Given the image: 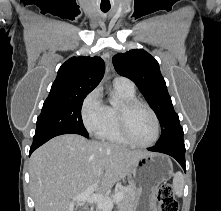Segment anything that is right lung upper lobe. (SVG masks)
<instances>
[{
	"instance_id": "obj_1",
	"label": "right lung upper lobe",
	"mask_w": 221,
	"mask_h": 211,
	"mask_svg": "<svg viewBox=\"0 0 221 211\" xmlns=\"http://www.w3.org/2000/svg\"><path fill=\"white\" fill-rule=\"evenodd\" d=\"M104 71L105 64L99 57H72L59 68L49 95L88 94L99 84Z\"/></svg>"
}]
</instances>
